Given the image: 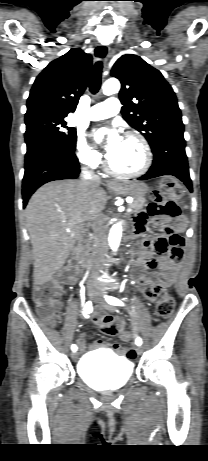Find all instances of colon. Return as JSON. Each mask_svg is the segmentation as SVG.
Listing matches in <instances>:
<instances>
[{
    "mask_svg": "<svg viewBox=\"0 0 208 461\" xmlns=\"http://www.w3.org/2000/svg\"><path fill=\"white\" fill-rule=\"evenodd\" d=\"M180 193V186L176 180L164 178L159 187L151 194L152 201L148 207L150 216L168 220L180 219L178 205L172 200ZM59 283L49 281L42 285H37L33 290V301L39 313L53 325L56 321L57 309L59 306ZM175 310V299L172 295L163 294L157 304V314L160 318L168 320L172 317ZM117 346H120L117 344ZM121 347V346H120ZM122 352L129 360L138 357L137 350L131 347H121Z\"/></svg>",
    "mask_w": 208,
    "mask_h": 461,
    "instance_id": "obj_1",
    "label": "colon"
}]
</instances>
